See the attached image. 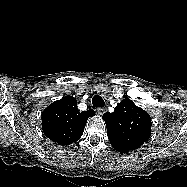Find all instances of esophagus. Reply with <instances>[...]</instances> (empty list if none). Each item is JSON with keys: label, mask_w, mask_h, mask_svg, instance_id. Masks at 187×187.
I'll return each instance as SVG.
<instances>
[{"label": "esophagus", "mask_w": 187, "mask_h": 187, "mask_svg": "<svg viewBox=\"0 0 187 187\" xmlns=\"http://www.w3.org/2000/svg\"><path fill=\"white\" fill-rule=\"evenodd\" d=\"M97 112L98 114L103 115L105 113V108H102V107L97 108Z\"/></svg>", "instance_id": "esophagus-1"}]
</instances>
